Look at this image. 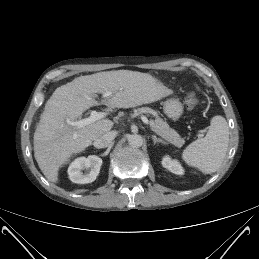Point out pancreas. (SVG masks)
<instances>
[{
  "instance_id": "pancreas-1",
  "label": "pancreas",
  "mask_w": 259,
  "mask_h": 259,
  "mask_svg": "<svg viewBox=\"0 0 259 259\" xmlns=\"http://www.w3.org/2000/svg\"><path fill=\"white\" fill-rule=\"evenodd\" d=\"M137 112L139 114L153 115L155 120L150 121L151 129L168 143H171L178 148L184 145L185 140L174 129L170 128L169 125L158 116L156 111L149 107H142L138 108Z\"/></svg>"
}]
</instances>
